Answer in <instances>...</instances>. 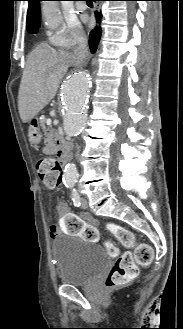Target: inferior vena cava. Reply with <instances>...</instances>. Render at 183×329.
I'll use <instances>...</instances> for the list:
<instances>
[{
    "label": "inferior vena cava",
    "mask_w": 183,
    "mask_h": 329,
    "mask_svg": "<svg viewBox=\"0 0 183 329\" xmlns=\"http://www.w3.org/2000/svg\"><path fill=\"white\" fill-rule=\"evenodd\" d=\"M88 49L85 44L79 45V47L75 50L74 55L77 63H81L87 56Z\"/></svg>",
    "instance_id": "1"
}]
</instances>
